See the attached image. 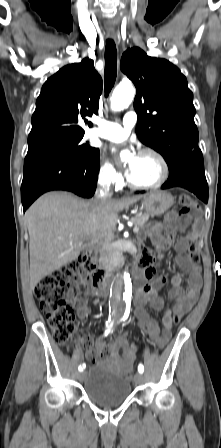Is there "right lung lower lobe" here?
<instances>
[{
    "label": "right lung lower lobe",
    "mask_w": 221,
    "mask_h": 448,
    "mask_svg": "<svg viewBox=\"0 0 221 448\" xmlns=\"http://www.w3.org/2000/svg\"><path fill=\"white\" fill-rule=\"evenodd\" d=\"M99 156L90 162H79L53 152L27 154L21 185L25 211L41 194L66 190L82 197H92L96 190Z\"/></svg>",
    "instance_id": "right-lung-lower-lobe-1"
}]
</instances>
